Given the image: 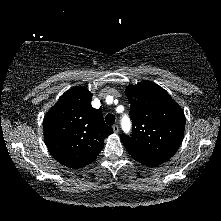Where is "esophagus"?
<instances>
[{
    "label": "esophagus",
    "instance_id": "esophagus-1",
    "mask_svg": "<svg viewBox=\"0 0 221 221\" xmlns=\"http://www.w3.org/2000/svg\"><path fill=\"white\" fill-rule=\"evenodd\" d=\"M112 129H113V132L115 133V134H117L118 132H119V126L116 124V125H113L112 126Z\"/></svg>",
    "mask_w": 221,
    "mask_h": 221
}]
</instances>
